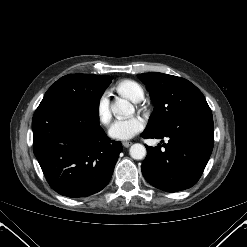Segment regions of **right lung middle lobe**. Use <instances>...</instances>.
Returning a JSON list of instances; mask_svg holds the SVG:
<instances>
[{
	"label": "right lung middle lobe",
	"mask_w": 247,
	"mask_h": 247,
	"mask_svg": "<svg viewBox=\"0 0 247 247\" xmlns=\"http://www.w3.org/2000/svg\"><path fill=\"white\" fill-rule=\"evenodd\" d=\"M112 77L70 74L57 80L45 93L43 100L62 99L99 110V100Z\"/></svg>",
	"instance_id": "right-lung-middle-lobe-1"
}]
</instances>
